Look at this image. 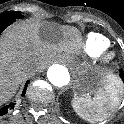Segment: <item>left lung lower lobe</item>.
<instances>
[{
	"label": "left lung lower lobe",
	"instance_id": "1",
	"mask_svg": "<svg viewBox=\"0 0 124 124\" xmlns=\"http://www.w3.org/2000/svg\"><path fill=\"white\" fill-rule=\"evenodd\" d=\"M120 78L122 79L123 83H124V74L123 72L120 70Z\"/></svg>",
	"mask_w": 124,
	"mask_h": 124
}]
</instances>
